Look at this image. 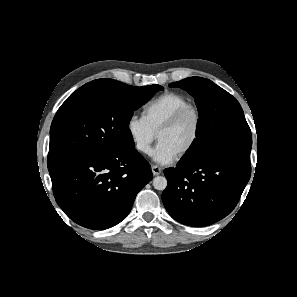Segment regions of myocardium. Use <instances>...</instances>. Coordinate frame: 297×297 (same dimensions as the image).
I'll use <instances>...</instances> for the list:
<instances>
[{
  "label": "myocardium",
  "mask_w": 297,
  "mask_h": 297,
  "mask_svg": "<svg viewBox=\"0 0 297 297\" xmlns=\"http://www.w3.org/2000/svg\"><path fill=\"white\" fill-rule=\"evenodd\" d=\"M188 114H192L195 118V131L191 141L178 154L179 157H184L188 155L195 148L199 141L203 125V118L199 109L193 104H189L180 108L159 128V130L156 133L158 138L161 133L176 127Z\"/></svg>",
  "instance_id": "f54148a6"
}]
</instances>
